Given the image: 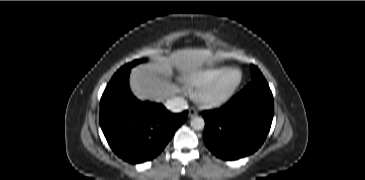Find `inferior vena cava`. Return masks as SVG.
Listing matches in <instances>:
<instances>
[{
  "mask_svg": "<svg viewBox=\"0 0 365 180\" xmlns=\"http://www.w3.org/2000/svg\"><path fill=\"white\" fill-rule=\"evenodd\" d=\"M165 106L172 112H181L188 108L187 101L181 97H174L166 101Z\"/></svg>",
  "mask_w": 365,
  "mask_h": 180,
  "instance_id": "1",
  "label": "inferior vena cava"
}]
</instances>
